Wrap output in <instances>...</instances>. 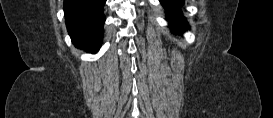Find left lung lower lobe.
Listing matches in <instances>:
<instances>
[{
  "instance_id": "0a47b994",
  "label": "left lung lower lobe",
  "mask_w": 273,
  "mask_h": 118,
  "mask_svg": "<svg viewBox=\"0 0 273 118\" xmlns=\"http://www.w3.org/2000/svg\"><path fill=\"white\" fill-rule=\"evenodd\" d=\"M162 6L166 10L167 20L175 34H181L187 29L186 18L182 15V0H160Z\"/></svg>"
}]
</instances>
